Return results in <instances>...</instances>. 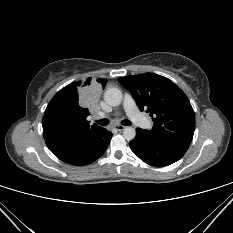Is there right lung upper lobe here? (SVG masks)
<instances>
[{"instance_id": "1", "label": "right lung upper lobe", "mask_w": 233, "mask_h": 233, "mask_svg": "<svg viewBox=\"0 0 233 233\" xmlns=\"http://www.w3.org/2000/svg\"><path fill=\"white\" fill-rule=\"evenodd\" d=\"M91 78L72 82L58 91L48 104L43 116V135L48 148L57 157H79L91 151L104 138L106 129L87 120L88 109L79 96V87L94 92L105 87L107 80Z\"/></svg>"}]
</instances>
